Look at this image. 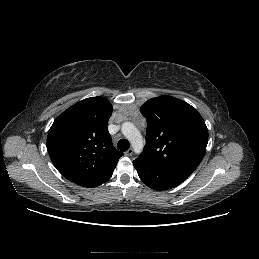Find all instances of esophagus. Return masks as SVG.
Wrapping results in <instances>:
<instances>
[{
	"mask_svg": "<svg viewBox=\"0 0 259 259\" xmlns=\"http://www.w3.org/2000/svg\"><path fill=\"white\" fill-rule=\"evenodd\" d=\"M124 154L125 156H131L133 154V149H128Z\"/></svg>",
	"mask_w": 259,
	"mask_h": 259,
	"instance_id": "34e87169",
	"label": "esophagus"
}]
</instances>
